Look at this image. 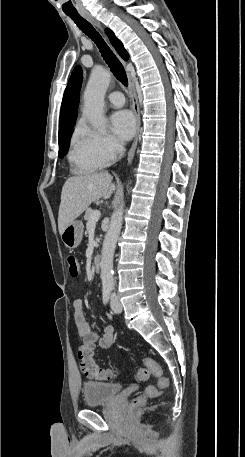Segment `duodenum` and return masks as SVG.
Listing matches in <instances>:
<instances>
[{"mask_svg": "<svg viewBox=\"0 0 245 457\" xmlns=\"http://www.w3.org/2000/svg\"><path fill=\"white\" fill-rule=\"evenodd\" d=\"M92 265L93 268L98 271L101 267V256L100 255H95L93 260H92Z\"/></svg>", "mask_w": 245, "mask_h": 457, "instance_id": "obj_1", "label": "duodenum"}]
</instances>
